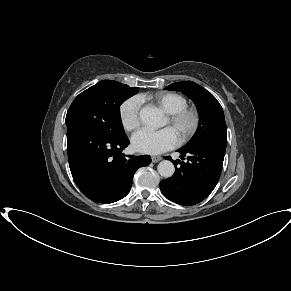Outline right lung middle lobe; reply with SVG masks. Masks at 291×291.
Wrapping results in <instances>:
<instances>
[{
    "label": "right lung middle lobe",
    "mask_w": 291,
    "mask_h": 291,
    "mask_svg": "<svg viewBox=\"0 0 291 291\" xmlns=\"http://www.w3.org/2000/svg\"><path fill=\"white\" fill-rule=\"evenodd\" d=\"M138 93L137 87L113 80H102L80 93L67 115V129L82 128L109 138L125 135L120 118V105Z\"/></svg>",
    "instance_id": "dd1d6c3e"
}]
</instances>
